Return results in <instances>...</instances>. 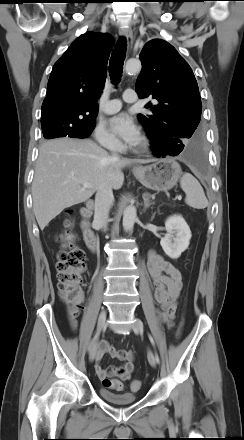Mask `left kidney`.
<instances>
[{"label":"left kidney","instance_id":"5707ae66","mask_svg":"<svg viewBox=\"0 0 244 440\" xmlns=\"http://www.w3.org/2000/svg\"><path fill=\"white\" fill-rule=\"evenodd\" d=\"M165 228L167 234L161 239L160 245L170 258L177 259L189 246L190 228L180 215L169 217L165 221Z\"/></svg>","mask_w":244,"mask_h":440}]
</instances>
